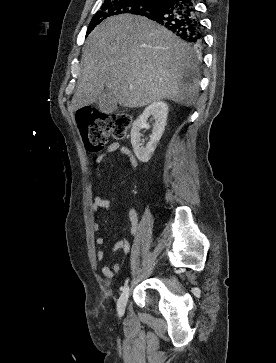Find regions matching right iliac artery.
Wrapping results in <instances>:
<instances>
[{"instance_id": "right-iliac-artery-1", "label": "right iliac artery", "mask_w": 276, "mask_h": 363, "mask_svg": "<svg viewBox=\"0 0 276 363\" xmlns=\"http://www.w3.org/2000/svg\"><path fill=\"white\" fill-rule=\"evenodd\" d=\"M128 281H129V279H127V280L125 281L124 286H122V287L120 288L121 290H123V288H124L125 286H127Z\"/></svg>"}]
</instances>
